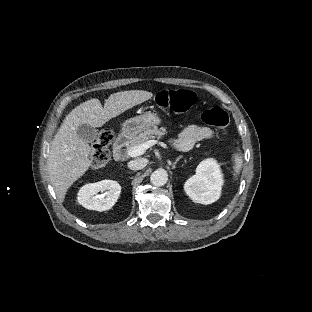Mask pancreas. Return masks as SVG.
Segmentation results:
<instances>
[{"mask_svg":"<svg viewBox=\"0 0 312 312\" xmlns=\"http://www.w3.org/2000/svg\"><path fill=\"white\" fill-rule=\"evenodd\" d=\"M166 134V129L161 127L160 129L157 126H154L152 129H146L144 132L140 133L136 137H134L127 146V151L131 148L144 144L149 139H152L156 135L158 138Z\"/></svg>","mask_w":312,"mask_h":312,"instance_id":"cf45deb5","label":"pancreas"}]
</instances>
